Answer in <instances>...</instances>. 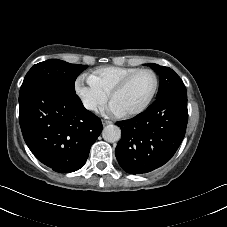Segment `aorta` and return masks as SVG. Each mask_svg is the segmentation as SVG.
<instances>
[{"label": "aorta", "instance_id": "1", "mask_svg": "<svg viewBox=\"0 0 227 227\" xmlns=\"http://www.w3.org/2000/svg\"><path fill=\"white\" fill-rule=\"evenodd\" d=\"M102 136L105 141L114 143L121 138V130L116 125H107L102 131Z\"/></svg>", "mask_w": 227, "mask_h": 227}]
</instances>
